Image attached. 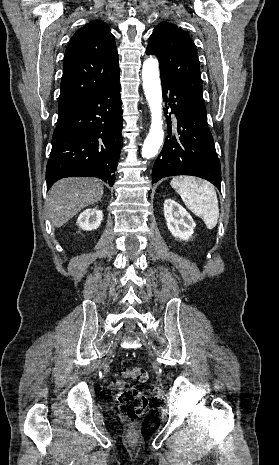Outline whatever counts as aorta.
Masks as SVG:
<instances>
[{
  "instance_id": "obj_1",
  "label": "aorta",
  "mask_w": 279,
  "mask_h": 465,
  "mask_svg": "<svg viewBox=\"0 0 279 465\" xmlns=\"http://www.w3.org/2000/svg\"><path fill=\"white\" fill-rule=\"evenodd\" d=\"M143 89L151 112V126L142 147V157L153 158L163 143L162 90L159 79V63L152 57L142 67Z\"/></svg>"
}]
</instances>
